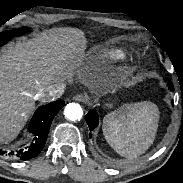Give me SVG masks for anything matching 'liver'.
Masks as SVG:
<instances>
[{
	"label": "liver",
	"instance_id": "obj_1",
	"mask_svg": "<svg viewBox=\"0 0 183 183\" xmlns=\"http://www.w3.org/2000/svg\"><path fill=\"white\" fill-rule=\"evenodd\" d=\"M86 38L75 28H58L18 42L0 57V141L16 137L34 110L35 95L51 83L78 75L94 84L101 76L87 63Z\"/></svg>",
	"mask_w": 183,
	"mask_h": 183
}]
</instances>
